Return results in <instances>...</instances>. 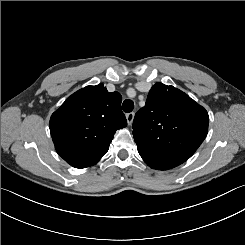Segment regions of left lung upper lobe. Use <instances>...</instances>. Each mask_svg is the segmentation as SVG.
<instances>
[{"instance_id": "1", "label": "left lung upper lobe", "mask_w": 245, "mask_h": 245, "mask_svg": "<svg viewBox=\"0 0 245 245\" xmlns=\"http://www.w3.org/2000/svg\"><path fill=\"white\" fill-rule=\"evenodd\" d=\"M208 124L207 111L186 93L156 83L132 127L138 152H165L186 161L204 141Z\"/></svg>"}]
</instances>
